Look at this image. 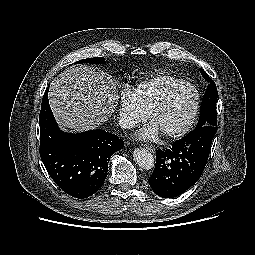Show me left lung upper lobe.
I'll use <instances>...</instances> for the list:
<instances>
[{
    "label": "left lung upper lobe",
    "instance_id": "1",
    "mask_svg": "<svg viewBox=\"0 0 255 255\" xmlns=\"http://www.w3.org/2000/svg\"><path fill=\"white\" fill-rule=\"evenodd\" d=\"M203 77L208 81L209 86L207 87L206 93L203 97L202 107L200 110V118L196 128L202 126H217V88L215 82L207 75V73L200 69Z\"/></svg>",
    "mask_w": 255,
    "mask_h": 255
}]
</instances>
